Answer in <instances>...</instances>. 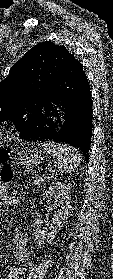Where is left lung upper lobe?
<instances>
[{
  "instance_id": "left-lung-upper-lobe-1",
  "label": "left lung upper lobe",
  "mask_w": 113,
  "mask_h": 279,
  "mask_svg": "<svg viewBox=\"0 0 113 279\" xmlns=\"http://www.w3.org/2000/svg\"><path fill=\"white\" fill-rule=\"evenodd\" d=\"M72 54L64 46L45 41L32 47L0 82V122L12 121L23 135L31 127L42 95Z\"/></svg>"
}]
</instances>
